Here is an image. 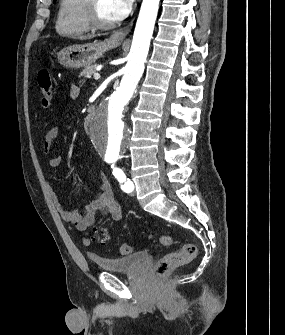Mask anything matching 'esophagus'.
<instances>
[{
	"label": "esophagus",
	"mask_w": 285,
	"mask_h": 335,
	"mask_svg": "<svg viewBox=\"0 0 285 335\" xmlns=\"http://www.w3.org/2000/svg\"><path fill=\"white\" fill-rule=\"evenodd\" d=\"M132 25H133V21H131L129 25H127L126 27L121 28L120 30H117L116 32H114L112 34V38L123 41L125 37L128 35V33L130 32Z\"/></svg>",
	"instance_id": "obj_1"
}]
</instances>
